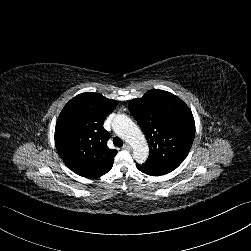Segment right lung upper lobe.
<instances>
[{"label": "right lung upper lobe", "mask_w": 251, "mask_h": 251, "mask_svg": "<svg viewBox=\"0 0 251 251\" xmlns=\"http://www.w3.org/2000/svg\"><path fill=\"white\" fill-rule=\"evenodd\" d=\"M117 101L99 93H82L71 99L59 115L55 145L66 166L74 173L97 179L113 166L117 151L107 147L109 133L103 128Z\"/></svg>", "instance_id": "cb5924a9"}]
</instances>
